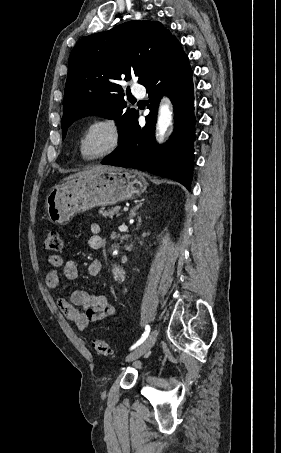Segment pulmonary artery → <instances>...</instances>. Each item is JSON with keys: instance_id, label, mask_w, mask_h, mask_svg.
Returning a JSON list of instances; mask_svg holds the SVG:
<instances>
[{"instance_id": "e3ab8cb5", "label": "pulmonary artery", "mask_w": 281, "mask_h": 453, "mask_svg": "<svg viewBox=\"0 0 281 453\" xmlns=\"http://www.w3.org/2000/svg\"><path fill=\"white\" fill-rule=\"evenodd\" d=\"M132 92L137 98H143L145 96L144 90H133Z\"/></svg>"}]
</instances>
